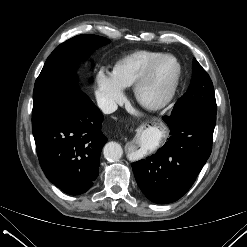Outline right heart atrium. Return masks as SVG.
<instances>
[{
	"label": "right heart atrium",
	"mask_w": 247,
	"mask_h": 247,
	"mask_svg": "<svg viewBox=\"0 0 247 247\" xmlns=\"http://www.w3.org/2000/svg\"><path fill=\"white\" fill-rule=\"evenodd\" d=\"M96 98L105 112H112L124 100L123 87L104 69L96 74Z\"/></svg>",
	"instance_id": "obj_1"
}]
</instances>
